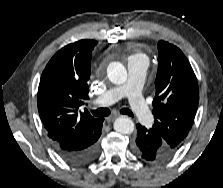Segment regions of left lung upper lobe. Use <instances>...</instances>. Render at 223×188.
<instances>
[{
	"label": "left lung upper lobe",
	"mask_w": 223,
	"mask_h": 188,
	"mask_svg": "<svg viewBox=\"0 0 223 188\" xmlns=\"http://www.w3.org/2000/svg\"><path fill=\"white\" fill-rule=\"evenodd\" d=\"M158 51L152 129L160 134L174 154L192 127L199 88L194 71L179 48L159 41Z\"/></svg>",
	"instance_id": "obj_1"
}]
</instances>
